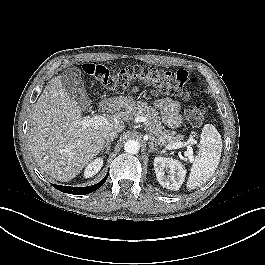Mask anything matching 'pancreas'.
I'll use <instances>...</instances> for the list:
<instances>
[{
    "label": "pancreas",
    "mask_w": 265,
    "mask_h": 265,
    "mask_svg": "<svg viewBox=\"0 0 265 265\" xmlns=\"http://www.w3.org/2000/svg\"><path fill=\"white\" fill-rule=\"evenodd\" d=\"M121 115L126 121L133 120L136 117H145V130L157 145L166 146L183 139V135L167 130L162 125L158 112L148 106L146 102L130 104Z\"/></svg>",
    "instance_id": "cf45deb5"
}]
</instances>
